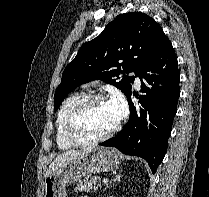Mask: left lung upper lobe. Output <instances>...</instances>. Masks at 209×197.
<instances>
[{"instance_id": "left-lung-upper-lobe-1", "label": "left lung upper lobe", "mask_w": 209, "mask_h": 197, "mask_svg": "<svg viewBox=\"0 0 209 197\" xmlns=\"http://www.w3.org/2000/svg\"><path fill=\"white\" fill-rule=\"evenodd\" d=\"M166 39L160 25L148 15L141 12L118 15L98 37L85 43L64 69L54 95L55 109L72 90L91 80L112 84L127 97L135 76ZM130 72H135V76L123 75L119 81L120 74Z\"/></svg>"}]
</instances>
